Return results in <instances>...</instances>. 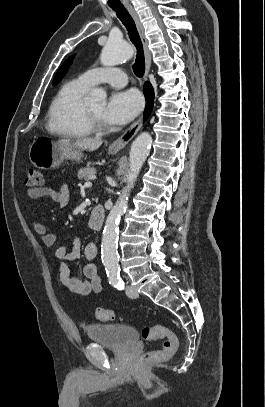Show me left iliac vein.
<instances>
[{
  "label": "left iliac vein",
  "instance_id": "obj_1",
  "mask_svg": "<svg viewBox=\"0 0 265 407\" xmlns=\"http://www.w3.org/2000/svg\"><path fill=\"white\" fill-rule=\"evenodd\" d=\"M126 294L130 298H137L138 297V292L131 285L126 287Z\"/></svg>",
  "mask_w": 265,
  "mask_h": 407
}]
</instances>
